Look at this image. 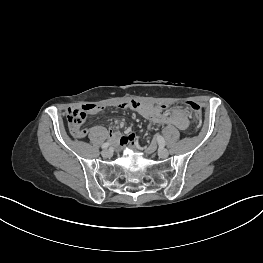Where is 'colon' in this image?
<instances>
[{"label":"colon","instance_id":"1","mask_svg":"<svg viewBox=\"0 0 263 263\" xmlns=\"http://www.w3.org/2000/svg\"><path fill=\"white\" fill-rule=\"evenodd\" d=\"M186 106L191 110L194 120L199 122L202 116L201 107L196 102H186ZM87 112L83 109H72L67 114L68 126L72 135L76 138H82L86 135V129L82 124L86 118Z\"/></svg>","mask_w":263,"mask_h":263}]
</instances>
